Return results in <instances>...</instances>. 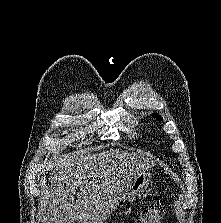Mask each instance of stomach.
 Listing matches in <instances>:
<instances>
[{
    "label": "stomach",
    "instance_id": "1",
    "mask_svg": "<svg viewBox=\"0 0 221 223\" xmlns=\"http://www.w3.org/2000/svg\"><path fill=\"white\" fill-rule=\"evenodd\" d=\"M151 182V175L148 171L142 170L140 171L133 181L131 182L128 191L121 197L122 202L126 200H130L131 197H134L138 194L143 193L149 186Z\"/></svg>",
    "mask_w": 221,
    "mask_h": 223
}]
</instances>
